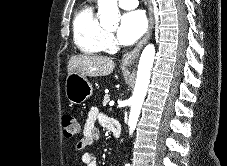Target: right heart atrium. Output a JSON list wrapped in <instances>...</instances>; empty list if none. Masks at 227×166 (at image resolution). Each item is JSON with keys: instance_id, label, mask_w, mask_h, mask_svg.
Masks as SVG:
<instances>
[{"instance_id": "obj_1", "label": "right heart atrium", "mask_w": 227, "mask_h": 166, "mask_svg": "<svg viewBox=\"0 0 227 166\" xmlns=\"http://www.w3.org/2000/svg\"><path fill=\"white\" fill-rule=\"evenodd\" d=\"M106 42L108 48H112L115 46V39L111 34H107Z\"/></svg>"}]
</instances>
